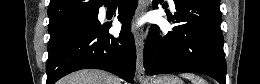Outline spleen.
<instances>
[{"mask_svg":"<svg viewBox=\"0 0 260 84\" xmlns=\"http://www.w3.org/2000/svg\"><path fill=\"white\" fill-rule=\"evenodd\" d=\"M181 76L189 79L192 84H207V81L205 79L194 73H183L181 74Z\"/></svg>","mask_w":260,"mask_h":84,"instance_id":"obj_1","label":"spleen"}]
</instances>
